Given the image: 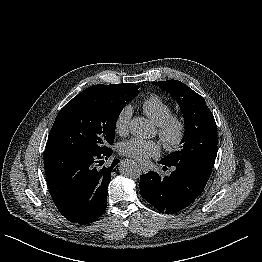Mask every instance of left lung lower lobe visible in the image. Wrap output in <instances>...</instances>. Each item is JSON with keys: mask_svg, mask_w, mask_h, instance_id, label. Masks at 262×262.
<instances>
[{"mask_svg": "<svg viewBox=\"0 0 262 262\" xmlns=\"http://www.w3.org/2000/svg\"><path fill=\"white\" fill-rule=\"evenodd\" d=\"M163 168L171 167L160 161ZM169 177L162 178L149 171L140 177L142 197L156 209L175 213L189 206L204 190L211 175L212 165L180 163L172 166Z\"/></svg>", "mask_w": 262, "mask_h": 262, "instance_id": "left-lung-lower-lobe-1", "label": "left lung lower lobe"}]
</instances>
